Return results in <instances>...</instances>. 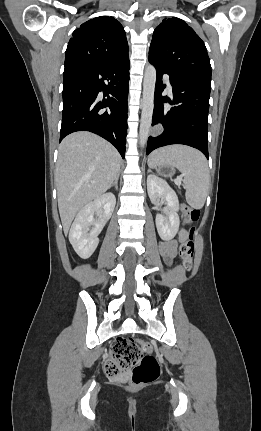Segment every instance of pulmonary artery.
Listing matches in <instances>:
<instances>
[{
  "mask_svg": "<svg viewBox=\"0 0 261 431\" xmlns=\"http://www.w3.org/2000/svg\"><path fill=\"white\" fill-rule=\"evenodd\" d=\"M164 80L167 83V85L169 86V88H171L170 80H169V77L167 75L164 76Z\"/></svg>",
  "mask_w": 261,
  "mask_h": 431,
  "instance_id": "pulmonary-artery-1",
  "label": "pulmonary artery"
}]
</instances>
